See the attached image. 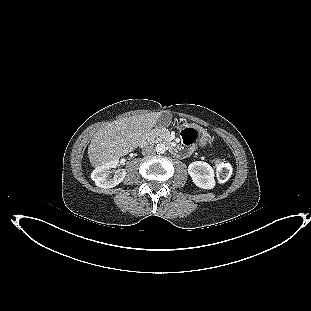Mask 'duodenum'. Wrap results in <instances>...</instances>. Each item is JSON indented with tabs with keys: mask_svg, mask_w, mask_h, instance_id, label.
<instances>
[{
	"mask_svg": "<svg viewBox=\"0 0 311 311\" xmlns=\"http://www.w3.org/2000/svg\"><path fill=\"white\" fill-rule=\"evenodd\" d=\"M148 140H143L142 144H145ZM169 152L172 154V155H175V156H179L181 154H183L185 152V149L184 148H175V147H170L169 149Z\"/></svg>",
	"mask_w": 311,
	"mask_h": 311,
	"instance_id": "duodenum-1",
	"label": "duodenum"
}]
</instances>
